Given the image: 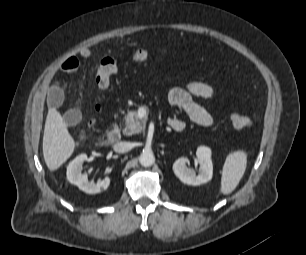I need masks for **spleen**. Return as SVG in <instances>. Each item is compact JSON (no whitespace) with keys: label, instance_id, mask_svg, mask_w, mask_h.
<instances>
[{"label":"spleen","instance_id":"spleen-1","mask_svg":"<svg viewBox=\"0 0 306 255\" xmlns=\"http://www.w3.org/2000/svg\"><path fill=\"white\" fill-rule=\"evenodd\" d=\"M246 164L247 154L244 151H236L227 156L221 177L222 194H230L237 187L246 170Z\"/></svg>","mask_w":306,"mask_h":255}]
</instances>
